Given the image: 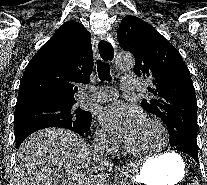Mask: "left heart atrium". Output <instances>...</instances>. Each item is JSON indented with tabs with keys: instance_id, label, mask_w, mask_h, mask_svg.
<instances>
[{
	"instance_id": "left-heart-atrium-1",
	"label": "left heart atrium",
	"mask_w": 207,
	"mask_h": 185,
	"mask_svg": "<svg viewBox=\"0 0 207 185\" xmlns=\"http://www.w3.org/2000/svg\"><path fill=\"white\" fill-rule=\"evenodd\" d=\"M99 119L107 130L125 138L144 121L137 107L124 102H115L104 107L99 113Z\"/></svg>"
}]
</instances>
